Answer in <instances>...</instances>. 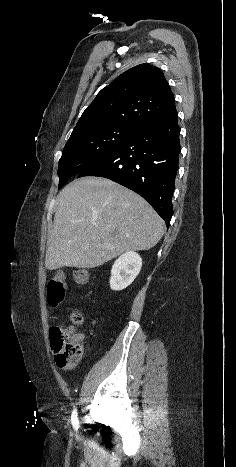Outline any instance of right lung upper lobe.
Wrapping results in <instances>:
<instances>
[{
    "mask_svg": "<svg viewBox=\"0 0 236 467\" xmlns=\"http://www.w3.org/2000/svg\"><path fill=\"white\" fill-rule=\"evenodd\" d=\"M175 109L174 95L162 71L140 64L122 73L97 94L72 134L109 125L138 130Z\"/></svg>",
    "mask_w": 236,
    "mask_h": 467,
    "instance_id": "right-lung-upper-lobe-1",
    "label": "right lung upper lobe"
}]
</instances>
